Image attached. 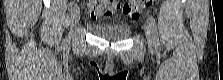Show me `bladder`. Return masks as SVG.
<instances>
[{"instance_id":"bladder-1","label":"bladder","mask_w":223,"mask_h":80,"mask_svg":"<svg viewBox=\"0 0 223 80\" xmlns=\"http://www.w3.org/2000/svg\"><path fill=\"white\" fill-rule=\"evenodd\" d=\"M87 27L93 34L109 40H123L131 35V29L122 25L89 23Z\"/></svg>"}]
</instances>
